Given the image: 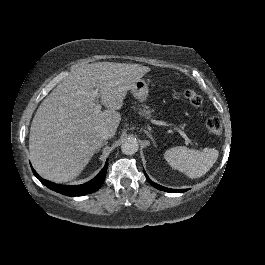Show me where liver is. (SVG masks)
Returning a JSON list of instances; mask_svg holds the SVG:
<instances>
[{
  "mask_svg": "<svg viewBox=\"0 0 265 265\" xmlns=\"http://www.w3.org/2000/svg\"><path fill=\"white\" fill-rule=\"evenodd\" d=\"M149 68L133 63L100 62L73 70L40 104L30 126L33 167L53 182L75 177L102 143L100 131L117 129L125 93ZM96 87V90H93ZM95 91L107 107L94 114Z\"/></svg>",
  "mask_w": 265,
  "mask_h": 265,
  "instance_id": "obj_1",
  "label": "liver"
}]
</instances>
